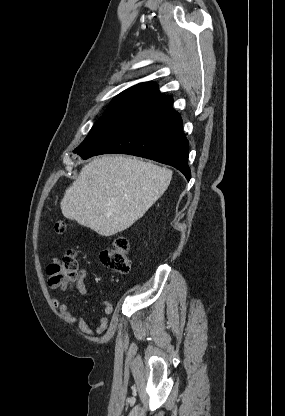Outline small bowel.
I'll use <instances>...</instances> for the list:
<instances>
[{
    "label": "small bowel",
    "mask_w": 285,
    "mask_h": 416,
    "mask_svg": "<svg viewBox=\"0 0 285 416\" xmlns=\"http://www.w3.org/2000/svg\"><path fill=\"white\" fill-rule=\"evenodd\" d=\"M77 290L78 292L83 295L86 296L88 294V290L87 287L83 281V279H80L77 283ZM52 304L57 308L58 310V314L59 317L66 323L68 324H76L79 328V330L86 336H92L93 335V331L90 328V326L87 324V322L85 321L84 318L82 317H78L75 316L70 308L63 303L60 299L56 298V297H52ZM103 311L105 313V315H110L113 311V306L112 304L107 301V300H103L101 302ZM108 326V319L107 317H102L99 321V323L97 324L96 328H95V332L97 335H101Z\"/></svg>",
    "instance_id": "1"
}]
</instances>
